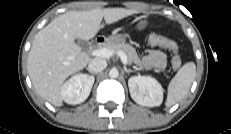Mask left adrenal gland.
<instances>
[{
  "label": "left adrenal gland",
  "mask_w": 231,
  "mask_h": 134,
  "mask_svg": "<svg viewBox=\"0 0 231 134\" xmlns=\"http://www.w3.org/2000/svg\"><path fill=\"white\" fill-rule=\"evenodd\" d=\"M124 71H125L126 73H131V72H134V70H131V69H127L126 67H124Z\"/></svg>",
  "instance_id": "obj_1"
}]
</instances>
